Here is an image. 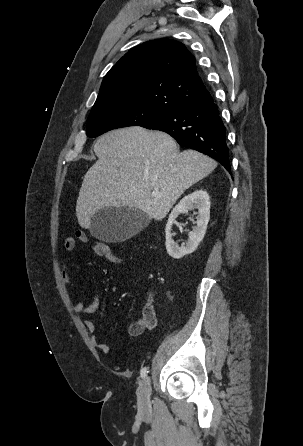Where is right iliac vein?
Wrapping results in <instances>:
<instances>
[{
    "instance_id": "63e3f726",
    "label": "right iliac vein",
    "mask_w": 303,
    "mask_h": 446,
    "mask_svg": "<svg viewBox=\"0 0 303 446\" xmlns=\"http://www.w3.org/2000/svg\"><path fill=\"white\" fill-rule=\"evenodd\" d=\"M151 381L146 377L140 384L137 391V400L140 410L146 412L150 406Z\"/></svg>"
}]
</instances>
